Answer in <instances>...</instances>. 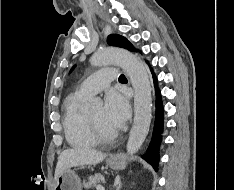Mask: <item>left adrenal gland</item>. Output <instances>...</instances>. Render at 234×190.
<instances>
[{
  "label": "left adrenal gland",
  "mask_w": 234,
  "mask_h": 190,
  "mask_svg": "<svg viewBox=\"0 0 234 190\" xmlns=\"http://www.w3.org/2000/svg\"><path fill=\"white\" fill-rule=\"evenodd\" d=\"M121 187H122V183H121V181H120V182L118 183V186L116 187V190H120Z\"/></svg>",
  "instance_id": "a2214340"
}]
</instances>
